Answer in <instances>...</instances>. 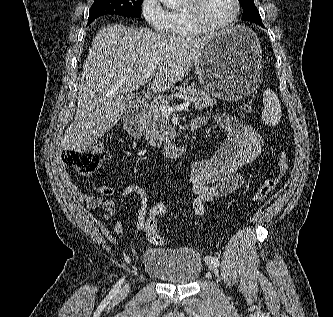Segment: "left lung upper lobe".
I'll use <instances>...</instances> for the list:
<instances>
[{"label": "left lung upper lobe", "instance_id": "1", "mask_svg": "<svg viewBox=\"0 0 333 317\" xmlns=\"http://www.w3.org/2000/svg\"><path fill=\"white\" fill-rule=\"evenodd\" d=\"M240 4L243 7V20H248L256 22L257 24L263 26L261 16L258 9L256 8L253 0H239Z\"/></svg>", "mask_w": 333, "mask_h": 317}]
</instances>
